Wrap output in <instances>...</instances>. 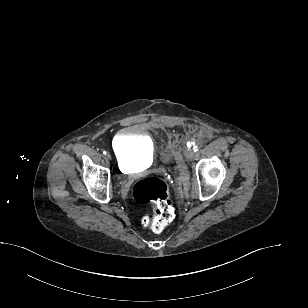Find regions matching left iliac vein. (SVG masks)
Masks as SVG:
<instances>
[{
	"instance_id": "1",
	"label": "left iliac vein",
	"mask_w": 308,
	"mask_h": 308,
	"mask_svg": "<svg viewBox=\"0 0 308 308\" xmlns=\"http://www.w3.org/2000/svg\"><path fill=\"white\" fill-rule=\"evenodd\" d=\"M184 155L187 159H192L195 155V152H194L193 149L188 148V149L185 150Z\"/></svg>"
}]
</instances>
